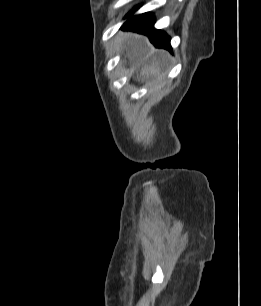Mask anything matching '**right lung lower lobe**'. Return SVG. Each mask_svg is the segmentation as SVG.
<instances>
[{"label":"right lung lower lobe","instance_id":"1","mask_svg":"<svg viewBox=\"0 0 261 306\" xmlns=\"http://www.w3.org/2000/svg\"><path fill=\"white\" fill-rule=\"evenodd\" d=\"M135 9L129 13L130 16ZM154 19L150 13H144L138 16L131 17L126 21L123 29L134 30L139 33L149 35L150 41L158 48H165L171 50L170 38L161 30L153 28Z\"/></svg>","mask_w":261,"mask_h":306}]
</instances>
